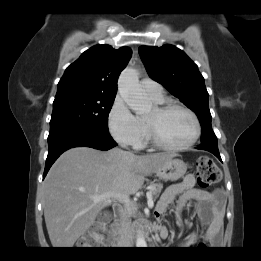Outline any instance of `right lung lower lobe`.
Here are the masks:
<instances>
[{"label":"right lung lower lobe","mask_w":261,"mask_h":261,"mask_svg":"<svg viewBox=\"0 0 261 261\" xmlns=\"http://www.w3.org/2000/svg\"><path fill=\"white\" fill-rule=\"evenodd\" d=\"M117 144L109 131H102L93 127L78 126L52 130L48 136V156L43 178H45L52 164L66 150L73 147H91L99 150H109Z\"/></svg>","instance_id":"1"}]
</instances>
